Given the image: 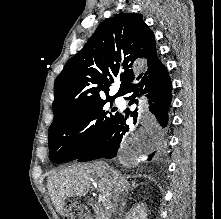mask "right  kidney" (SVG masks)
<instances>
[{
  "label": "right kidney",
  "mask_w": 221,
  "mask_h": 219,
  "mask_svg": "<svg viewBox=\"0 0 221 219\" xmlns=\"http://www.w3.org/2000/svg\"><path fill=\"white\" fill-rule=\"evenodd\" d=\"M147 209L144 203L133 206L126 215V219H147Z\"/></svg>",
  "instance_id": "ca27d5eb"
}]
</instances>
